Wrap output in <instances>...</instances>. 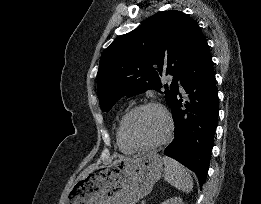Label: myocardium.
Returning <instances> with one entry per match:
<instances>
[{"label": "myocardium", "mask_w": 261, "mask_h": 204, "mask_svg": "<svg viewBox=\"0 0 261 204\" xmlns=\"http://www.w3.org/2000/svg\"><path fill=\"white\" fill-rule=\"evenodd\" d=\"M147 108H151V109H155L157 110L165 123V129L164 132L162 134V136L156 140L155 142H152L150 144H146V145H138L133 143L127 136L126 133V124L129 120V118L135 114L136 112L143 110V109H147ZM173 130V121L171 118L170 113L168 112V110L161 105L158 102L155 101H146L140 104L135 105L134 107H132L131 109H129L124 116L122 117L121 121H120V136L123 140V142L132 150L135 151H148V150H152L155 149L161 145H163L170 137L171 133Z\"/></svg>", "instance_id": "f54148a6"}]
</instances>
